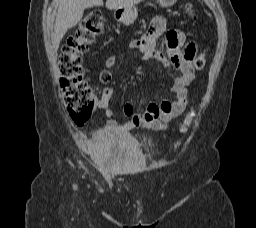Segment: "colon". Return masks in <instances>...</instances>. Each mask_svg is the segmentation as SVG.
Segmentation results:
<instances>
[{
    "label": "colon",
    "instance_id": "1",
    "mask_svg": "<svg viewBox=\"0 0 256 228\" xmlns=\"http://www.w3.org/2000/svg\"><path fill=\"white\" fill-rule=\"evenodd\" d=\"M193 14L191 5L187 6ZM104 28L103 15L100 11L89 12L82 20L76 33L70 37L62 48L59 56L60 86L67 110L76 123H85L99 108L100 100L84 77L82 56L92 44L95 37ZM206 63L203 53L195 55L192 64L196 69H202ZM193 118L190 111L180 126V132L185 133Z\"/></svg>",
    "mask_w": 256,
    "mask_h": 228
}]
</instances>
